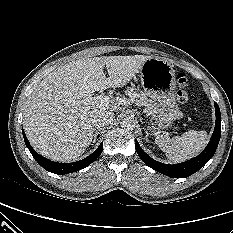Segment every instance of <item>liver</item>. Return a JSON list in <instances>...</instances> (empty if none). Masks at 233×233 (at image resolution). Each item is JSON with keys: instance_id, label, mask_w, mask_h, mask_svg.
Wrapping results in <instances>:
<instances>
[{"instance_id": "obj_1", "label": "liver", "mask_w": 233, "mask_h": 233, "mask_svg": "<svg viewBox=\"0 0 233 233\" xmlns=\"http://www.w3.org/2000/svg\"><path fill=\"white\" fill-rule=\"evenodd\" d=\"M149 58H82L51 72L34 89L25 106L24 129L33 148L54 161L80 157L92 142L94 115L117 109L110 103L87 105L84 101L95 91L125 86ZM105 66L109 77L103 72Z\"/></svg>"}]
</instances>
